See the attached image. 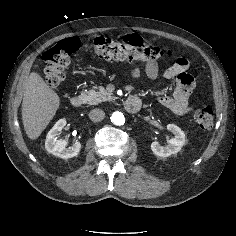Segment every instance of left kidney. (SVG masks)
<instances>
[{"instance_id":"1","label":"left kidney","mask_w":236,"mask_h":236,"mask_svg":"<svg viewBox=\"0 0 236 236\" xmlns=\"http://www.w3.org/2000/svg\"><path fill=\"white\" fill-rule=\"evenodd\" d=\"M167 129L173 133L174 137L168 140L166 145L162 146L156 141L151 144V150L159 157H168L176 154L186 144L185 134L178 126L168 124Z\"/></svg>"}]
</instances>
